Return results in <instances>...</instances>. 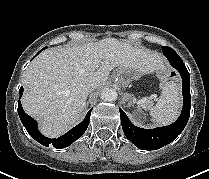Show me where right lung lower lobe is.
Masks as SVG:
<instances>
[{
	"mask_svg": "<svg viewBox=\"0 0 209 179\" xmlns=\"http://www.w3.org/2000/svg\"><path fill=\"white\" fill-rule=\"evenodd\" d=\"M38 53H40V51ZM38 53L36 55H38ZM19 94L21 97V95L23 94V87L20 88ZM91 111L92 109L89 110L85 119L80 124L72 128L66 134L62 135L57 139H50L43 136L39 132L37 127V122L24 112L20 100L18 102V114L27 132L40 144L46 147H48L49 145H53L57 149H61L69 146L84 134V132L86 131L89 125V117L91 115Z\"/></svg>",
	"mask_w": 209,
	"mask_h": 179,
	"instance_id": "right-lung-lower-lobe-1",
	"label": "right lung lower lobe"
}]
</instances>
